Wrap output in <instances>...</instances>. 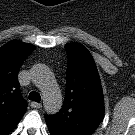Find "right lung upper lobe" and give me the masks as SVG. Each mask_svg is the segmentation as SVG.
<instances>
[{"instance_id":"right-lung-upper-lobe-1","label":"right lung upper lobe","mask_w":135,"mask_h":135,"mask_svg":"<svg viewBox=\"0 0 135 135\" xmlns=\"http://www.w3.org/2000/svg\"><path fill=\"white\" fill-rule=\"evenodd\" d=\"M31 44L11 41L0 47V135H7L27 110L20 92L18 71L34 51Z\"/></svg>"}]
</instances>
